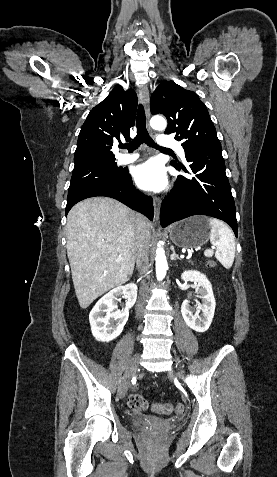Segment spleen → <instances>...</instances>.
Masks as SVG:
<instances>
[{
	"mask_svg": "<svg viewBox=\"0 0 277 477\" xmlns=\"http://www.w3.org/2000/svg\"><path fill=\"white\" fill-rule=\"evenodd\" d=\"M210 242L216 246L215 258L226 269L231 268L235 258V239L230 228L222 221L210 218Z\"/></svg>",
	"mask_w": 277,
	"mask_h": 477,
	"instance_id": "obj_1",
	"label": "spleen"
}]
</instances>
